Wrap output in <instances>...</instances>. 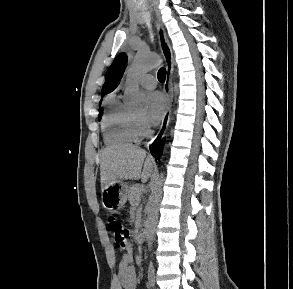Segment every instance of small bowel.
I'll list each match as a JSON object with an SVG mask.
<instances>
[{"label":"small bowel","instance_id":"obj_1","mask_svg":"<svg viewBox=\"0 0 293 289\" xmlns=\"http://www.w3.org/2000/svg\"><path fill=\"white\" fill-rule=\"evenodd\" d=\"M134 255L131 248L123 253L119 266L117 278L114 281L112 289H136L137 274L133 265Z\"/></svg>","mask_w":293,"mask_h":289}]
</instances>
